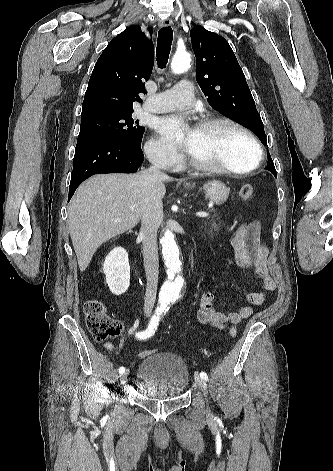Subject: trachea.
Instances as JSON below:
<instances>
[{"label":"trachea","mask_w":333,"mask_h":471,"mask_svg":"<svg viewBox=\"0 0 333 471\" xmlns=\"http://www.w3.org/2000/svg\"><path fill=\"white\" fill-rule=\"evenodd\" d=\"M173 38V31L170 26L163 27L159 30L158 39H157V64L158 67L163 69L166 67Z\"/></svg>","instance_id":"1"}]
</instances>
